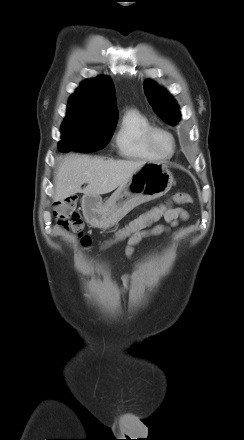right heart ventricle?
<instances>
[{
    "label": "right heart ventricle",
    "mask_w": 244,
    "mask_h": 440,
    "mask_svg": "<svg viewBox=\"0 0 244 440\" xmlns=\"http://www.w3.org/2000/svg\"><path fill=\"white\" fill-rule=\"evenodd\" d=\"M150 127L149 120L138 110L125 111L114 136V144L118 153L126 158L159 159L160 157L153 153L144 141V133Z\"/></svg>",
    "instance_id": "e07e8e85"
}]
</instances>
